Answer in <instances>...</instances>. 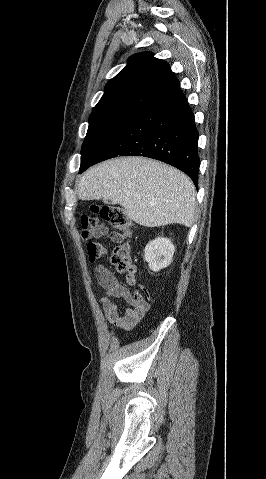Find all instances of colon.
Wrapping results in <instances>:
<instances>
[{
    "mask_svg": "<svg viewBox=\"0 0 266 479\" xmlns=\"http://www.w3.org/2000/svg\"><path fill=\"white\" fill-rule=\"evenodd\" d=\"M91 210L97 216L85 215L81 218L84 237H95L96 234L106 230L105 224L110 225L116 233L123 237L121 244L112 253L111 262L119 272H133L134 266L129 241L132 236V229L127 215L120 208L110 206H92ZM87 253L90 260H95L102 257L106 250L101 244L89 241L87 243Z\"/></svg>",
    "mask_w": 266,
    "mask_h": 479,
    "instance_id": "1",
    "label": "colon"
}]
</instances>
